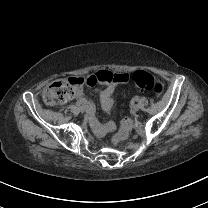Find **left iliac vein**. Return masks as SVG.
Returning a JSON list of instances; mask_svg holds the SVG:
<instances>
[{
    "label": "left iliac vein",
    "mask_w": 208,
    "mask_h": 208,
    "mask_svg": "<svg viewBox=\"0 0 208 208\" xmlns=\"http://www.w3.org/2000/svg\"><path fill=\"white\" fill-rule=\"evenodd\" d=\"M139 109H140V106H139L138 104H135V105L132 107L133 112H137V111H139Z\"/></svg>",
    "instance_id": "obj_1"
}]
</instances>
